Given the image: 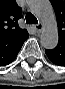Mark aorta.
Returning <instances> with one entry per match:
<instances>
[{
  "mask_svg": "<svg viewBox=\"0 0 65 89\" xmlns=\"http://www.w3.org/2000/svg\"><path fill=\"white\" fill-rule=\"evenodd\" d=\"M30 9L39 17L43 25L40 36L41 45L46 49H54L58 43V30L51 3L47 0H36L31 3Z\"/></svg>",
  "mask_w": 65,
  "mask_h": 89,
  "instance_id": "aorta-1",
  "label": "aorta"
}]
</instances>
